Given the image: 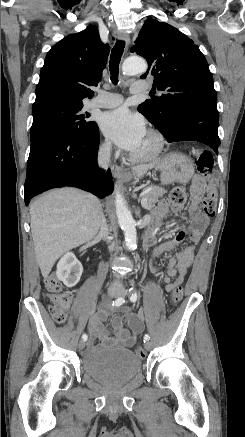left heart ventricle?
I'll return each mask as SVG.
<instances>
[{
	"instance_id": "left-heart-ventricle-1",
	"label": "left heart ventricle",
	"mask_w": 245,
	"mask_h": 437,
	"mask_svg": "<svg viewBox=\"0 0 245 437\" xmlns=\"http://www.w3.org/2000/svg\"><path fill=\"white\" fill-rule=\"evenodd\" d=\"M153 147H154L153 139L146 134L140 147L134 152V154H136V155L146 154V153L150 152Z\"/></svg>"
}]
</instances>
